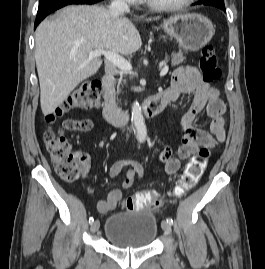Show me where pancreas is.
<instances>
[{"label":"pancreas","instance_id":"pancreas-1","mask_svg":"<svg viewBox=\"0 0 265 269\" xmlns=\"http://www.w3.org/2000/svg\"><path fill=\"white\" fill-rule=\"evenodd\" d=\"M184 53L179 51L178 53H173L171 56V66H177L185 60ZM120 88H117V93H120Z\"/></svg>","mask_w":265,"mask_h":269}]
</instances>
